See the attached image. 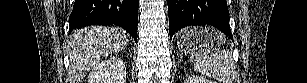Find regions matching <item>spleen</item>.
I'll return each mask as SVG.
<instances>
[{"label": "spleen", "instance_id": "spleen-1", "mask_svg": "<svg viewBox=\"0 0 307 83\" xmlns=\"http://www.w3.org/2000/svg\"><path fill=\"white\" fill-rule=\"evenodd\" d=\"M196 29L199 30L201 45L191 52L190 58L195 68L202 74L221 83H233L236 71L232 55L229 50L220 49L225 41V36L213 28ZM211 41H214L216 47H218L213 53L208 48Z\"/></svg>", "mask_w": 307, "mask_h": 83}]
</instances>
